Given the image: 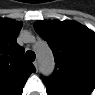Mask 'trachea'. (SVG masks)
<instances>
[{"instance_id": "3493384b", "label": "trachea", "mask_w": 95, "mask_h": 95, "mask_svg": "<svg viewBox=\"0 0 95 95\" xmlns=\"http://www.w3.org/2000/svg\"><path fill=\"white\" fill-rule=\"evenodd\" d=\"M26 58L29 60V61H34L35 60V53L31 50H28L25 54Z\"/></svg>"}]
</instances>
